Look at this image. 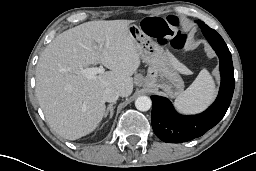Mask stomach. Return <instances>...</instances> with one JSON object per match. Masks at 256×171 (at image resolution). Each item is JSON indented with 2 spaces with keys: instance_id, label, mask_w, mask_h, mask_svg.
<instances>
[{
  "instance_id": "stomach-1",
  "label": "stomach",
  "mask_w": 256,
  "mask_h": 171,
  "mask_svg": "<svg viewBox=\"0 0 256 171\" xmlns=\"http://www.w3.org/2000/svg\"><path fill=\"white\" fill-rule=\"evenodd\" d=\"M128 31L140 58L149 66L144 81L145 86L150 89L160 88L170 98L181 94L184 82L177 72L174 56L156 43L140 26L130 24Z\"/></svg>"
}]
</instances>
